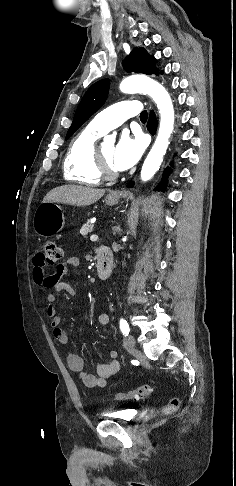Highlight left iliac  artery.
<instances>
[{"instance_id": "left-iliac-artery-1", "label": "left iliac artery", "mask_w": 236, "mask_h": 486, "mask_svg": "<svg viewBox=\"0 0 236 486\" xmlns=\"http://www.w3.org/2000/svg\"><path fill=\"white\" fill-rule=\"evenodd\" d=\"M120 329L125 336L129 334V325L127 321L123 318L120 319Z\"/></svg>"}]
</instances>
